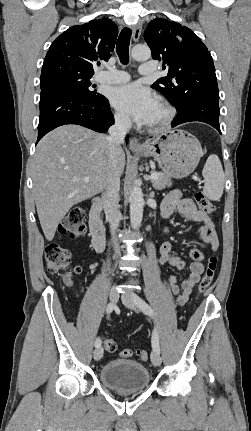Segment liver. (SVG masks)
<instances>
[{"mask_svg": "<svg viewBox=\"0 0 251 431\" xmlns=\"http://www.w3.org/2000/svg\"><path fill=\"white\" fill-rule=\"evenodd\" d=\"M106 135L79 125H63L38 143L33 160V193L43 233L52 241L58 224L76 204L102 192L125 168L120 146L113 165ZM88 177L89 182L74 178Z\"/></svg>", "mask_w": 251, "mask_h": 431, "instance_id": "1", "label": "liver"}]
</instances>
